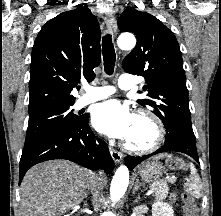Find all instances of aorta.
I'll return each instance as SVG.
<instances>
[{
	"label": "aorta",
	"mask_w": 221,
	"mask_h": 216,
	"mask_svg": "<svg viewBox=\"0 0 221 216\" xmlns=\"http://www.w3.org/2000/svg\"><path fill=\"white\" fill-rule=\"evenodd\" d=\"M118 47L121 50H131L136 45L134 35L130 33L121 34L117 40ZM129 184V171L125 165H121L111 182L110 196L113 202L120 200L125 194Z\"/></svg>",
	"instance_id": "1"
}]
</instances>
